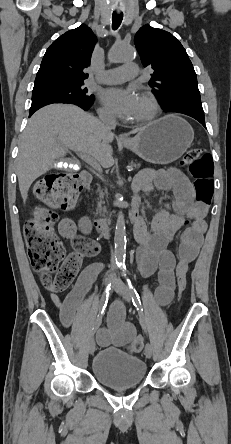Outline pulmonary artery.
Returning a JSON list of instances; mask_svg holds the SVG:
<instances>
[{"label": "pulmonary artery", "instance_id": "1", "mask_svg": "<svg viewBox=\"0 0 231 444\" xmlns=\"http://www.w3.org/2000/svg\"><path fill=\"white\" fill-rule=\"evenodd\" d=\"M138 68L135 64L127 63L118 68L110 69L98 75L97 81L103 84H117L137 78Z\"/></svg>", "mask_w": 231, "mask_h": 444}]
</instances>
